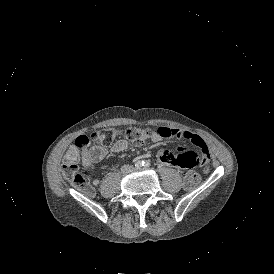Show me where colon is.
Instances as JSON below:
<instances>
[{
    "instance_id": "1",
    "label": "colon",
    "mask_w": 274,
    "mask_h": 274,
    "mask_svg": "<svg viewBox=\"0 0 274 274\" xmlns=\"http://www.w3.org/2000/svg\"><path fill=\"white\" fill-rule=\"evenodd\" d=\"M118 128H105L95 132V136L103 140L104 145H110L112 142L124 135L129 138L132 143L139 144L149 136V132L146 129L131 127L125 132ZM75 146H70L66 154L65 160L62 165L63 173L71 180L75 185L81 187H90L89 181L91 179L88 170L80 169L78 166V149L79 147H87L89 141L86 133L74 134ZM202 179V175L196 172L188 173L185 176L184 183L188 188L196 187Z\"/></svg>"
}]
</instances>
